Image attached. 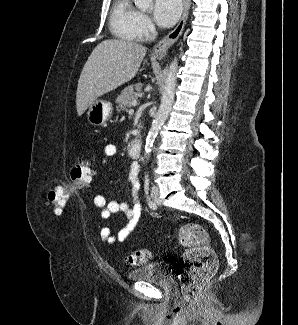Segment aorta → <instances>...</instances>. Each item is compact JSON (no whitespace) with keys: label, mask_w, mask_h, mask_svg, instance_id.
I'll use <instances>...</instances> for the list:
<instances>
[{"label":"aorta","mask_w":298,"mask_h":325,"mask_svg":"<svg viewBox=\"0 0 298 325\" xmlns=\"http://www.w3.org/2000/svg\"><path fill=\"white\" fill-rule=\"evenodd\" d=\"M137 8L141 10H148L152 8L154 2L153 0H134ZM178 70V58L173 56L169 66L168 72H166L165 86L160 98V104L158 112L153 120V124L148 132L145 144L144 158L148 160L150 152L152 150L153 142L158 134L159 128H161L164 120H166L174 102L175 90L177 84L176 72Z\"/></svg>","instance_id":"aorta-1"}]
</instances>
